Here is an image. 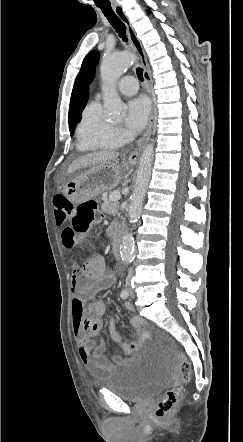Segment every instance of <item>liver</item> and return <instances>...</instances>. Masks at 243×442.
<instances>
[{"label": "liver", "instance_id": "obj_1", "mask_svg": "<svg viewBox=\"0 0 243 442\" xmlns=\"http://www.w3.org/2000/svg\"><path fill=\"white\" fill-rule=\"evenodd\" d=\"M119 153L115 151H98L90 154L83 155L82 157L74 160L67 169V173L70 174L76 170L95 166L101 163L117 161Z\"/></svg>", "mask_w": 243, "mask_h": 442}]
</instances>
